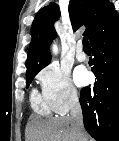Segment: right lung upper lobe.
Returning <instances> with one entry per match:
<instances>
[{"mask_svg": "<svg viewBox=\"0 0 119 141\" xmlns=\"http://www.w3.org/2000/svg\"><path fill=\"white\" fill-rule=\"evenodd\" d=\"M69 14L73 29L85 25V35L91 40L98 28L116 15L114 6L107 0H70ZM55 3L43 7L36 15L32 28V40L27 56L26 74L39 72L51 61L49 45L56 36L54 22L59 18Z\"/></svg>", "mask_w": 119, "mask_h": 141, "instance_id": "1", "label": "right lung upper lobe"}]
</instances>
